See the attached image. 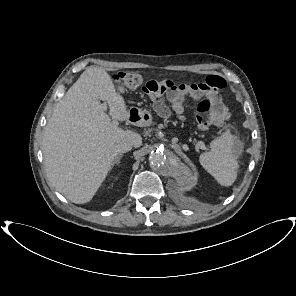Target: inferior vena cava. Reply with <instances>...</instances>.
I'll return each instance as SVG.
<instances>
[{"instance_id": "obj_1", "label": "inferior vena cava", "mask_w": 296, "mask_h": 296, "mask_svg": "<svg viewBox=\"0 0 296 296\" xmlns=\"http://www.w3.org/2000/svg\"><path fill=\"white\" fill-rule=\"evenodd\" d=\"M133 146L134 145H133L132 141L127 140V139H123V140L118 141L115 144V152L116 153H125V152L130 151Z\"/></svg>"}]
</instances>
